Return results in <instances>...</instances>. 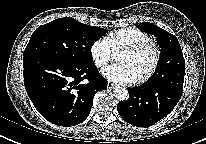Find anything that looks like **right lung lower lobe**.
<instances>
[{"mask_svg":"<svg viewBox=\"0 0 206 144\" xmlns=\"http://www.w3.org/2000/svg\"><path fill=\"white\" fill-rule=\"evenodd\" d=\"M24 85L36 110L58 126L83 122L91 111L98 91L107 80L93 62L77 64L54 57L34 55L23 58Z\"/></svg>","mask_w":206,"mask_h":144,"instance_id":"98d812e1","label":"right lung lower lobe"}]
</instances>
